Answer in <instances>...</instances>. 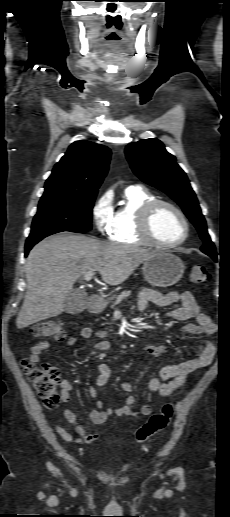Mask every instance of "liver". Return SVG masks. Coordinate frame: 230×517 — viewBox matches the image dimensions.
Returning <instances> with one entry per match:
<instances>
[{
  "mask_svg": "<svg viewBox=\"0 0 230 517\" xmlns=\"http://www.w3.org/2000/svg\"><path fill=\"white\" fill-rule=\"evenodd\" d=\"M154 253L137 246L70 233L42 240L27 257V290L16 319L17 328L61 314L73 284L87 272L98 271L104 283L116 286L126 281Z\"/></svg>",
  "mask_w": 230,
  "mask_h": 517,
  "instance_id": "1",
  "label": "liver"
}]
</instances>
